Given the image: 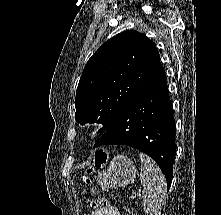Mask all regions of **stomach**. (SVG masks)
Returning a JSON list of instances; mask_svg holds the SVG:
<instances>
[{
	"instance_id": "1",
	"label": "stomach",
	"mask_w": 221,
	"mask_h": 215,
	"mask_svg": "<svg viewBox=\"0 0 221 215\" xmlns=\"http://www.w3.org/2000/svg\"><path fill=\"white\" fill-rule=\"evenodd\" d=\"M136 167L131 159L124 155H117L111 161L107 169L98 171L97 182L104 191L125 186L134 181Z\"/></svg>"
}]
</instances>
